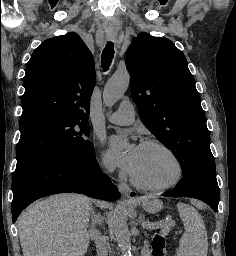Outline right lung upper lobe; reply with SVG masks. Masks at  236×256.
Instances as JSON below:
<instances>
[{
  "label": "right lung upper lobe",
  "mask_w": 236,
  "mask_h": 256,
  "mask_svg": "<svg viewBox=\"0 0 236 256\" xmlns=\"http://www.w3.org/2000/svg\"><path fill=\"white\" fill-rule=\"evenodd\" d=\"M23 80L21 118L54 113L87 120L95 68L92 54L78 34L44 41L32 54Z\"/></svg>",
  "instance_id": "right-lung-upper-lobe-1"
}]
</instances>
